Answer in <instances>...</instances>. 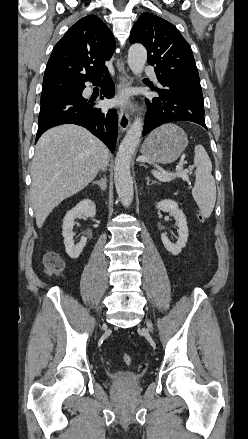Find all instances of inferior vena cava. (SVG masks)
Returning a JSON list of instances; mask_svg holds the SVG:
<instances>
[{
    "label": "inferior vena cava",
    "instance_id": "inferior-vena-cava-1",
    "mask_svg": "<svg viewBox=\"0 0 248 439\" xmlns=\"http://www.w3.org/2000/svg\"><path fill=\"white\" fill-rule=\"evenodd\" d=\"M107 164H108V160L103 164L101 169L104 170L106 168Z\"/></svg>",
    "mask_w": 248,
    "mask_h": 439
}]
</instances>
